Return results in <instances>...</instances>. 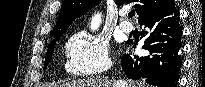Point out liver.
<instances>
[{"instance_id":"obj_1","label":"liver","mask_w":205,"mask_h":87,"mask_svg":"<svg viewBox=\"0 0 205 87\" xmlns=\"http://www.w3.org/2000/svg\"><path fill=\"white\" fill-rule=\"evenodd\" d=\"M115 83L113 80L97 77L95 79L76 80L66 84L55 85L54 87H116ZM122 85V87H147L146 84L137 82L130 84L128 82H122Z\"/></svg>"}]
</instances>
